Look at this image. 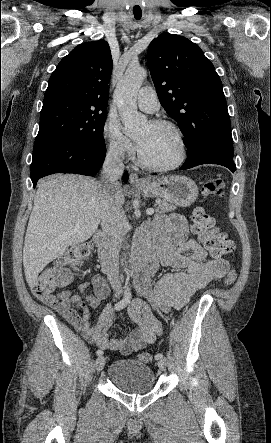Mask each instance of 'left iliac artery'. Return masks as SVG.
<instances>
[{"instance_id": "left-iliac-artery-1", "label": "left iliac artery", "mask_w": 271, "mask_h": 443, "mask_svg": "<svg viewBox=\"0 0 271 443\" xmlns=\"http://www.w3.org/2000/svg\"><path fill=\"white\" fill-rule=\"evenodd\" d=\"M162 358H163V354H161V353H158V354L155 355V359L156 360H160Z\"/></svg>"}]
</instances>
